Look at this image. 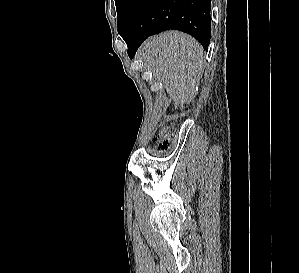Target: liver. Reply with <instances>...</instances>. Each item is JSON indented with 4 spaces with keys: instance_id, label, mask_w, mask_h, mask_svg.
Masks as SVG:
<instances>
[{
    "instance_id": "obj_1",
    "label": "liver",
    "mask_w": 299,
    "mask_h": 273,
    "mask_svg": "<svg viewBox=\"0 0 299 273\" xmlns=\"http://www.w3.org/2000/svg\"><path fill=\"white\" fill-rule=\"evenodd\" d=\"M202 46L194 38L178 31H168L146 40L138 57L163 83L175 106L189 100L203 72Z\"/></svg>"
}]
</instances>
